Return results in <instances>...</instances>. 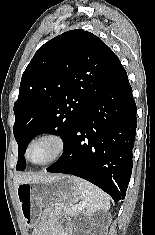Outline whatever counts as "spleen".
<instances>
[{
    "label": "spleen",
    "instance_id": "1",
    "mask_svg": "<svg viewBox=\"0 0 155 235\" xmlns=\"http://www.w3.org/2000/svg\"><path fill=\"white\" fill-rule=\"evenodd\" d=\"M72 180L79 189L80 198L87 211H108L110 209L109 197L105 192L81 178L72 177Z\"/></svg>",
    "mask_w": 155,
    "mask_h": 235
}]
</instances>
